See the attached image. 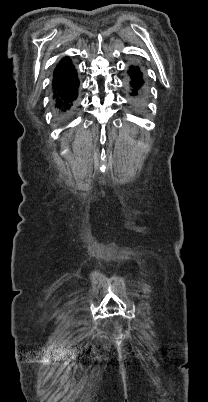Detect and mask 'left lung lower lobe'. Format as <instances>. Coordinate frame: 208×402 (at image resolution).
<instances>
[{
  "mask_svg": "<svg viewBox=\"0 0 208 402\" xmlns=\"http://www.w3.org/2000/svg\"><path fill=\"white\" fill-rule=\"evenodd\" d=\"M128 73L129 97L136 104H141L146 95V84L143 73L138 65L131 64Z\"/></svg>",
  "mask_w": 208,
  "mask_h": 402,
  "instance_id": "left-lung-lower-lobe-1",
  "label": "left lung lower lobe"
}]
</instances>
